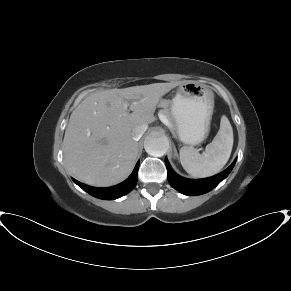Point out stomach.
Segmentation results:
<instances>
[{
  "instance_id": "stomach-1",
  "label": "stomach",
  "mask_w": 291,
  "mask_h": 291,
  "mask_svg": "<svg viewBox=\"0 0 291 291\" xmlns=\"http://www.w3.org/2000/svg\"><path fill=\"white\" fill-rule=\"evenodd\" d=\"M170 110L179 140L185 145L196 146L209 134L214 93L193 81L182 83L176 89Z\"/></svg>"
}]
</instances>
